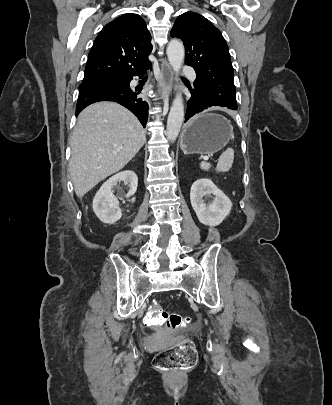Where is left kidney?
Instances as JSON below:
<instances>
[{"label": "left kidney", "instance_id": "obj_1", "mask_svg": "<svg viewBox=\"0 0 332 405\" xmlns=\"http://www.w3.org/2000/svg\"><path fill=\"white\" fill-rule=\"evenodd\" d=\"M215 196L212 203L206 204L204 195ZM191 205L198 220L208 226H217L229 215L232 203L230 199L208 178L196 180L190 191Z\"/></svg>", "mask_w": 332, "mask_h": 405}]
</instances>
